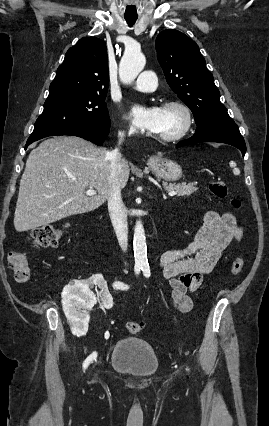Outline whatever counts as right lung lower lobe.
Here are the masks:
<instances>
[{"mask_svg": "<svg viewBox=\"0 0 269 426\" xmlns=\"http://www.w3.org/2000/svg\"><path fill=\"white\" fill-rule=\"evenodd\" d=\"M109 128L110 125L107 127H97L94 125H81L79 127H75L66 131H62V132H58V133H53V134H49L47 136H52V135H73V136H78L81 138H84L88 141H91L97 145H102L103 141L105 140V138L107 137L108 133H109ZM44 136V137H47ZM42 137V138H44ZM41 139V138H39ZM39 139L36 140H29L26 143V147L27 148L28 145H30L32 142L37 141Z\"/></svg>", "mask_w": 269, "mask_h": 426, "instance_id": "obj_1", "label": "right lung lower lobe"}]
</instances>
